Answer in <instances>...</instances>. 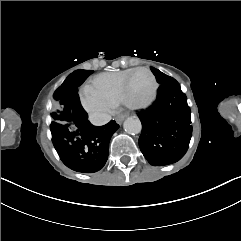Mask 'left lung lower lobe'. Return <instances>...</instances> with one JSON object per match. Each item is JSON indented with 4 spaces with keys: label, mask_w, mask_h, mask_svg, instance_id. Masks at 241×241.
Segmentation results:
<instances>
[{
    "label": "left lung lower lobe",
    "mask_w": 241,
    "mask_h": 241,
    "mask_svg": "<svg viewBox=\"0 0 241 241\" xmlns=\"http://www.w3.org/2000/svg\"><path fill=\"white\" fill-rule=\"evenodd\" d=\"M139 119V147L151 165H168L184 156L192 135L190 108L175 79L160 85L156 101Z\"/></svg>",
    "instance_id": "1"
}]
</instances>
